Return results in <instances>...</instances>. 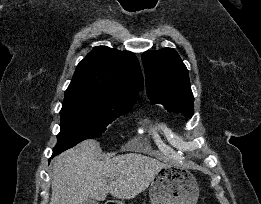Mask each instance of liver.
I'll use <instances>...</instances> for the list:
<instances>
[{
	"label": "liver",
	"mask_w": 261,
	"mask_h": 204,
	"mask_svg": "<svg viewBox=\"0 0 261 204\" xmlns=\"http://www.w3.org/2000/svg\"><path fill=\"white\" fill-rule=\"evenodd\" d=\"M100 154L99 143L89 139L56 157L50 204H85L90 198L104 201L108 193L132 199L148 188L158 170L167 166L138 153L102 160Z\"/></svg>",
	"instance_id": "1"
}]
</instances>
